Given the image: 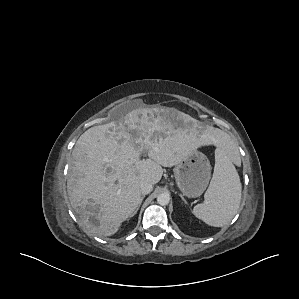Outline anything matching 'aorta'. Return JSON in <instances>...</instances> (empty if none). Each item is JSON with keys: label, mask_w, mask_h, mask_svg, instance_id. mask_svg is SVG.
<instances>
[{"label": "aorta", "mask_w": 299, "mask_h": 299, "mask_svg": "<svg viewBox=\"0 0 299 299\" xmlns=\"http://www.w3.org/2000/svg\"><path fill=\"white\" fill-rule=\"evenodd\" d=\"M169 201H170V195L168 193H161L157 197L158 204L162 206L167 205Z\"/></svg>", "instance_id": "obj_1"}]
</instances>
